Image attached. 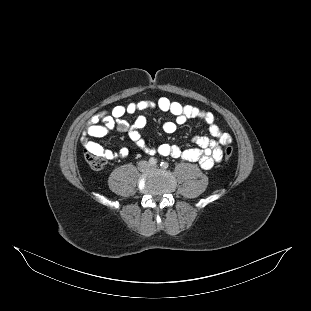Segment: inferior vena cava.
Instances as JSON below:
<instances>
[{"mask_svg": "<svg viewBox=\"0 0 311 311\" xmlns=\"http://www.w3.org/2000/svg\"><path fill=\"white\" fill-rule=\"evenodd\" d=\"M137 168L140 171H147L149 169V164L145 160H140L137 163Z\"/></svg>", "mask_w": 311, "mask_h": 311, "instance_id": "obj_1", "label": "inferior vena cava"}]
</instances>
